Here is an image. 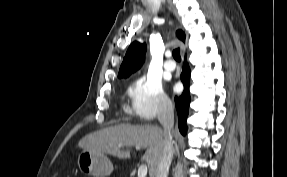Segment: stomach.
Wrapping results in <instances>:
<instances>
[{"label": "stomach", "instance_id": "1", "mask_svg": "<svg viewBox=\"0 0 287 177\" xmlns=\"http://www.w3.org/2000/svg\"><path fill=\"white\" fill-rule=\"evenodd\" d=\"M77 164L82 173L94 177H107L114 169L104 153L89 149H83L79 153Z\"/></svg>", "mask_w": 287, "mask_h": 177}]
</instances>
